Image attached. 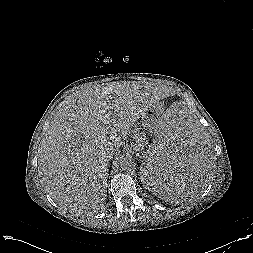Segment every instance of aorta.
Returning <instances> with one entry per match:
<instances>
[{
	"label": "aorta",
	"mask_w": 253,
	"mask_h": 253,
	"mask_svg": "<svg viewBox=\"0 0 253 253\" xmlns=\"http://www.w3.org/2000/svg\"><path fill=\"white\" fill-rule=\"evenodd\" d=\"M118 164L123 170H131L135 167L134 158L130 154H123L118 158Z\"/></svg>",
	"instance_id": "aorta-1"
}]
</instances>
